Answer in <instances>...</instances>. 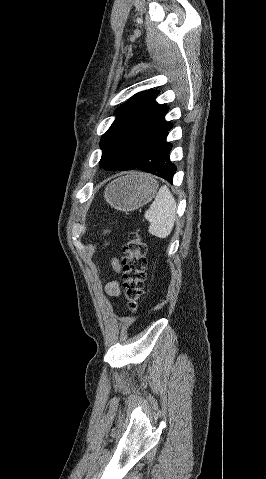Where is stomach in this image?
<instances>
[{
  "label": "stomach",
  "instance_id": "stomach-1",
  "mask_svg": "<svg viewBox=\"0 0 266 479\" xmlns=\"http://www.w3.org/2000/svg\"><path fill=\"white\" fill-rule=\"evenodd\" d=\"M157 181L143 173H130L112 181L105 190L106 201L120 211H133L155 196Z\"/></svg>",
  "mask_w": 266,
  "mask_h": 479
}]
</instances>
